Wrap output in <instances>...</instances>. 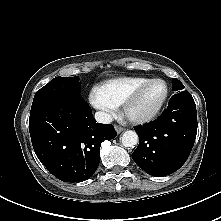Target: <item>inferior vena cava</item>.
I'll use <instances>...</instances> for the list:
<instances>
[{
    "label": "inferior vena cava",
    "mask_w": 221,
    "mask_h": 221,
    "mask_svg": "<svg viewBox=\"0 0 221 221\" xmlns=\"http://www.w3.org/2000/svg\"><path fill=\"white\" fill-rule=\"evenodd\" d=\"M95 119L99 123L107 124L112 122V117L110 114L103 112V111H98L94 115Z\"/></svg>",
    "instance_id": "602c4592"
}]
</instances>
